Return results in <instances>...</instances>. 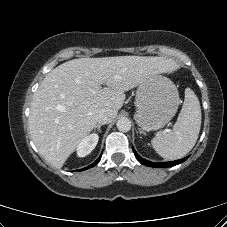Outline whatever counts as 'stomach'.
Here are the masks:
<instances>
[{"mask_svg": "<svg viewBox=\"0 0 227 227\" xmlns=\"http://www.w3.org/2000/svg\"><path fill=\"white\" fill-rule=\"evenodd\" d=\"M179 101L178 90L169 78L151 75L137 87L135 120L144 131L161 129L175 116Z\"/></svg>", "mask_w": 227, "mask_h": 227, "instance_id": "stomach-1", "label": "stomach"}]
</instances>
